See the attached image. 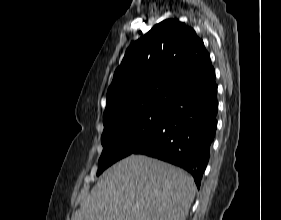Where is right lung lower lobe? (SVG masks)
Returning a JSON list of instances; mask_svg holds the SVG:
<instances>
[{"label":"right lung lower lobe","instance_id":"right-lung-lower-lobe-1","mask_svg":"<svg viewBox=\"0 0 281 220\" xmlns=\"http://www.w3.org/2000/svg\"><path fill=\"white\" fill-rule=\"evenodd\" d=\"M217 85L173 103L161 128L133 153L144 154L187 170L200 187L217 128Z\"/></svg>","mask_w":281,"mask_h":220}]
</instances>
